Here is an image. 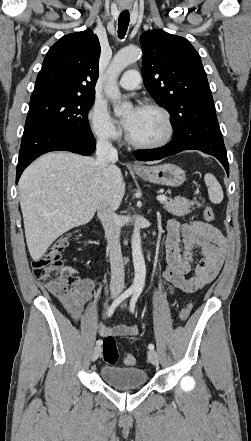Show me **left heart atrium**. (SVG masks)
Instances as JSON below:
<instances>
[{
    "mask_svg": "<svg viewBox=\"0 0 251 441\" xmlns=\"http://www.w3.org/2000/svg\"><path fill=\"white\" fill-rule=\"evenodd\" d=\"M139 110H140V108L133 109L132 112L128 116H126V118L124 119L123 125L125 126V128L127 130H129L132 127L134 120L136 118V115L139 112Z\"/></svg>",
    "mask_w": 251,
    "mask_h": 441,
    "instance_id": "1",
    "label": "left heart atrium"
}]
</instances>
